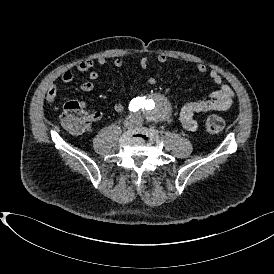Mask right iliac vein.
Instances as JSON below:
<instances>
[{
  "mask_svg": "<svg viewBox=\"0 0 274 274\" xmlns=\"http://www.w3.org/2000/svg\"><path fill=\"white\" fill-rule=\"evenodd\" d=\"M136 123H137L136 117H134V116H129V117H127V118L125 119L123 125H124L125 128H128V129H129V128L134 127V126L136 125Z\"/></svg>",
  "mask_w": 274,
  "mask_h": 274,
  "instance_id": "1",
  "label": "right iliac vein"
}]
</instances>
